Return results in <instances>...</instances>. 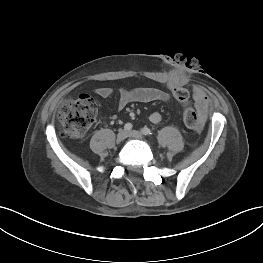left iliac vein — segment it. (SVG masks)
I'll list each match as a JSON object with an SVG mask.
<instances>
[{"label":"left iliac vein","mask_w":263,"mask_h":263,"mask_svg":"<svg viewBox=\"0 0 263 263\" xmlns=\"http://www.w3.org/2000/svg\"><path fill=\"white\" fill-rule=\"evenodd\" d=\"M128 136L134 139H139V140L144 139L143 133L136 131V130L129 131Z\"/></svg>","instance_id":"left-iliac-vein-1"}]
</instances>
